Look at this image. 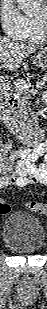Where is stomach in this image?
Wrapping results in <instances>:
<instances>
[{
	"label": "stomach",
	"mask_w": 47,
	"mask_h": 309,
	"mask_svg": "<svg viewBox=\"0 0 47 309\" xmlns=\"http://www.w3.org/2000/svg\"><path fill=\"white\" fill-rule=\"evenodd\" d=\"M36 67L47 70V47L41 48L33 57Z\"/></svg>",
	"instance_id": "stomach-1"
}]
</instances>
